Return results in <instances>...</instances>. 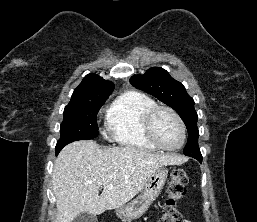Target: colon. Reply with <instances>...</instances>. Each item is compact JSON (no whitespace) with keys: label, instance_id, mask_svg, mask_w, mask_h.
Returning a JSON list of instances; mask_svg holds the SVG:
<instances>
[{"label":"colon","instance_id":"obj_1","mask_svg":"<svg viewBox=\"0 0 257 222\" xmlns=\"http://www.w3.org/2000/svg\"><path fill=\"white\" fill-rule=\"evenodd\" d=\"M188 175L185 169L176 168L172 171L167 187V200L158 222H182L178 203L186 194Z\"/></svg>","mask_w":257,"mask_h":222}]
</instances>
